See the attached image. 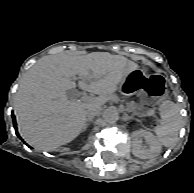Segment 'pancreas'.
<instances>
[{
  "instance_id": "cf45deb5",
  "label": "pancreas",
  "mask_w": 194,
  "mask_h": 193,
  "mask_svg": "<svg viewBox=\"0 0 194 193\" xmlns=\"http://www.w3.org/2000/svg\"><path fill=\"white\" fill-rule=\"evenodd\" d=\"M127 111L133 112V115L137 116H151L153 111L150 109H145L142 106H139L138 103L130 102L126 106Z\"/></svg>"
}]
</instances>
